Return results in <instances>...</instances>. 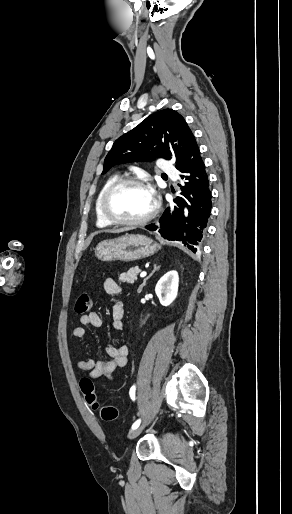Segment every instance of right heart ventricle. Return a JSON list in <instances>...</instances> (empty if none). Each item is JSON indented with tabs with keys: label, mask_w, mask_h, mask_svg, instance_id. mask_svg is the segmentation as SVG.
Returning <instances> with one entry per match:
<instances>
[{
	"label": "right heart ventricle",
	"mask_w": 292,
	"mask_h": 514,
	"mask_svg": "<svg viewBox=\"0 0 292 514\" xmlns=\"http://www.w3.org/2000/svg\"><path fill=\"white\" fill-rule=\"evenodd\" d=\"M116 179H118V176L114 175V176H111L110 178H108L106 180V182L103 184V186L100 188V190L97 192L96 196H95V199H94V214H95V221H96V225L98 227H101V228H105V227H108L111 225L110 222H108L104 216L101 214L100 212V209H99V201H100V197L103 193V191L113 182L115 181Z\"/></svg>",
	"instance_id": "e07e8e85"
}]
</instances>
